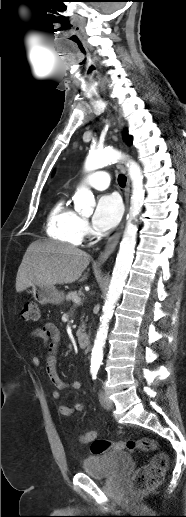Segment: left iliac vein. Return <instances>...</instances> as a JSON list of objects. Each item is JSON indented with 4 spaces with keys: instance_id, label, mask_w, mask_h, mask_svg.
I'll list each match as a JSON object with an SVG mask.
<instances>
[{
    "instance_id": "1",
    "label": "left iliac vein",
    "mask_w": 186,
    "mask_h": 517,
    "mask_svg": "<svg viewBox=\"0 0 186 517\" xmlns=\"http://www.w3.org/2000/svg\"><path fill=\"white\" fill-rule=\"evenodd\" d=\"M99 401L104 409L110 410L112 408V401L108 398L103 390H100L99 392Z\"/></svg>"
}]
</instances>
